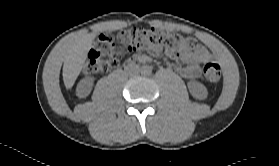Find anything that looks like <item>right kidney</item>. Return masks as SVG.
<instances>
[{"label":"right kidney","instance_id":"obj_1","mask_svg":"<svg viewBox=\"0 0 279 166\" xmlns=\"http://www.w3.org/2000/svg\"><path fill=\"white\" fill-rule=\"evenodd\" d=\"M93 81L91 78L82 79L77 86V94L79 97H86L92 89Z\"/></svg>","mask_w":279,"mask_h":166}]
</instances>
